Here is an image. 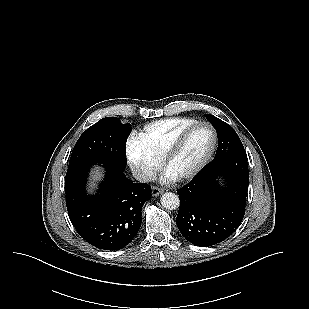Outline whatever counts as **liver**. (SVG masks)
Segmentation results:
<instances>
[{
	"mask_svg": "<svg viewBox=\"0 0 309 309\" xmlns=\"http://www.w3.org/2000/svg\"><path fill=\"white\" fill-rule=\"evenodd\" d=\"M102 177V173L99 171V169H96L93 171L92 179L93 180H99Z\"/></svg>",
	"mask_w": 309,
	"mask_h": 309,
	"instance_id": "obj_1",
	"label": "liver"
}]
</instances>
